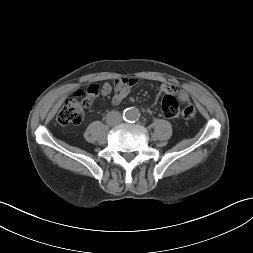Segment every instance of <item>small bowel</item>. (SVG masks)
<instances>
[{"label": "small bowel", "instance_id": "c3829d8e", "mask_svg": "<svg viewBox=\"0 0 253 253\" xmlns=\"http://www.w3.org/2000/svg\"><path fill=\"white\" fill-rule=\"evenodd\" d=\"M138 83V79L125 77L116 79L114 82V94L112 103L120 104L129 94L130 89ZM88 89H96L101 95L106 96L111 93L112 86L109 83L103 84L100 88L97 85H90ZM176 94L180 101L186 103L180 108V115L184 119H191L195 115V108L190 104V96L188 92L182 88H177L173 84L163 81L159 83L156 91L155 103L158 97L162 94Z\"/></svg>", "mask_w": 253, "mask_h": 253}]
</instances>
